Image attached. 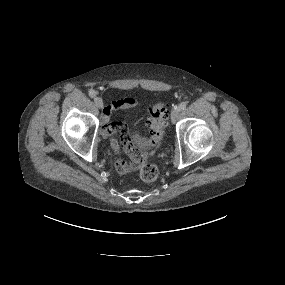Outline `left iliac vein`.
<instances>
[{
    "label": "left iliac vein",
    "instance_id": "4c4485c4",
    "mask_svg": "<svg viewBox=\"0 0 285 285\" xmlns=\"http://www.w3.org/2000/svg\"><path fill=\"white\" fill-rule=\"evenodd\" d=\"M179 109L178 108H175L172 113H171V122L172 123H175L177 118H178V115H179Z\"/></svg>",
    "mask_w": 285,
    "mask_h": 285
}]
</instances>
